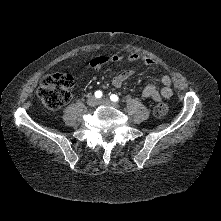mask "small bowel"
Wrapping results in <instances>:
<instances>
[{"label":"small bowel","mask_w":221,"mask_h":221,"mask_svg":"<svg viewBox=\"0 0 221 221\" xmlns=\"http://www.w3.org/2000/svg\"><path fill=\"white\" fill-rule=\"evenodd\" d=\"M123 59L124 57L120 55H101L91 59V61L89 62V66L94 70H98L105 65L111 63H117L122 61ZM126 59L129 62L141 61L146 66L149 67L154 65V61L151 58L136 53L128 55ZM134 73L135 71L133 69H126L118 73L113 77L112 85L116 88L121 87L123 83L127 79H129ZM160 81L162 84L161 89H158L154 83H150L147 86H145L144 89L142 90V96L144 98L152 99L153 101L156 102H159L162 99L171 98L173 95V91L171 88V83H172L171 78L168 75H162Z\"/></svg>","instance_id":"small-bowel-1"}]
</instances>
